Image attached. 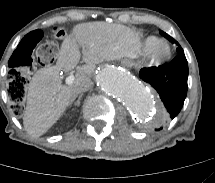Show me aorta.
<instances>
[{"label": "aorta", "instance_id": "1", "mask_svg": "<svg viewBox=\"0 0 215 183\" xmlns=\"http://www.w3.org/2000/svg\"><path fill=\"white\" fill-rule=\"evenodd\" d=\"M95 82L105 94L124 103L135 116L147 122H157L161 109L148 89L131 74L115 66L101 67Z\"/></svg>", "mask_w": 215, "mask_h": 183}]
</instances>
